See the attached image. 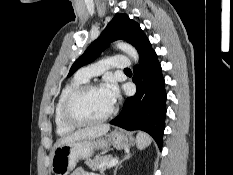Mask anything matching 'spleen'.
Here are the masks:
<instances>
[{"label":"spleen","mask_w":233,"mask_h":175,"mask_svg":"<svg viewBox=\"0 0 233 175\" xmlns=\"http://www.w3.org/2000/svg\"><path fill=\"white\" fill-rule=\"evenodd\" d=\"M151 144V137L144 133L139 132L136 137V145L137 147L142 150Z\"/></svg>","instance_id":"obj_1"}]
</instances>
